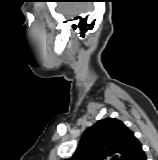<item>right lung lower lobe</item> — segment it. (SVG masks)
Returning <instances> with one entry per match:
<instances>
[{
  "mask_svg": "<svg viewBox=\"0 0 158 160\" xmlns=\"http://www.w3.org/2000/svg\"><path fill=\"white\" fill-rule=\"evenodd\" d=\"M131 160H146V154L141 149Z\"/></svg>",
  "mask_w": 158,
  "mask_h": 160,
  "instance_id": "1",
  "label": "right lung lower lobe"
}]
</instances>
